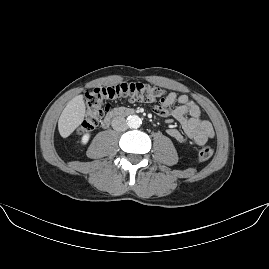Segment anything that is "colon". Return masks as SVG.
I'll list each match as a JSON object with an SVG mask.
<instances>
[{"label": "colon", "mask_w": 269, "mask_h": 269, "mask_svg": "<svg viewBox=\"0 0 269 269\" xmlns=\"http://www.w3.org/2000/svg\"><path fill=\"white\" fill-rule=\"evenodd\" d=\"M86 113L77 129L82 135L91 131L94 125L98 124L106 114L107 104L121 99H128L133 102L153 103L163 101L165 89L157 85L130 82L120 83L111 86L91 87L85 91ZM214 154V148L210 145L203 147L197 156L200 162L209 160Z\"/></svg>", "instance_id": "1"}]
</instances>
